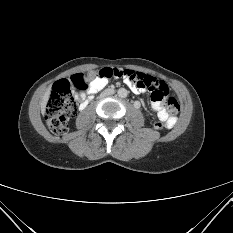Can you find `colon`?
<instances>
[{"label":"colon","mask_w":233,"mask_h":233,"mask_svg":"<svg viewBox=\"0 0 233 233\" xmlns=\"http://www.w3.org/2000/svg\"><path fill=\"white\" fill-rule=\"evenodd\" d=\"M97 77L122 78L132 86L150 90L153 101L164 103L163 107L170 118H174L180 110L179 103L175 98H167L168 88L164 82L132 70L103 68L90 72L88 75L76 74L70 81L62 79L53 85L45 109L46 123L52 133L63 135L68 129V116L76 111L72 89L80 92L87 91ZM166 127L169 125L164 121L160 120L154 123L155 129L162 130Z\"/></svg>","instance_id":"5ec220e1"}]
</instances>
